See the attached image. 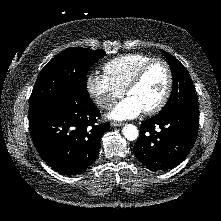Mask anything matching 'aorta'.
<instances>
[{"label": "aorta", "instance_id": "obj_1", "mask_svg": "<svg viewBox=\"0 0 221 221\" xmlns=\"http://www.w3.org/2000/svg\"><path fill=\"white\" fill-rule=\"evenodd\" d=\"M122 133L127 140L133 141L138 138V129L132 124H127L123 127Z\"/></svg>", "mask_w": 221, "mask_h": 221}]
</instances>
